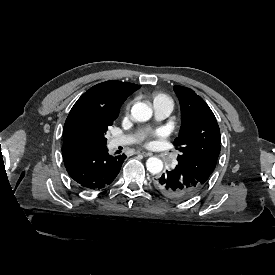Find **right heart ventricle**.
<instances>
[{"instance_id": "right-heart-ventricle-1", "label": "right heart ventricle", "mask_w": 275, "mask_h": 275, "mask_svg": "<svg viewBox=\"0 0 275 275\" xmlns=\"http://www.w3.org/2000/svg\"><path fill=\"white\" fill-rule=\"evenodd\" d=\"M155 102L156 104H170L171 105V101L163 96H158L155 98Z\"/></svg>"}]
</instances>
